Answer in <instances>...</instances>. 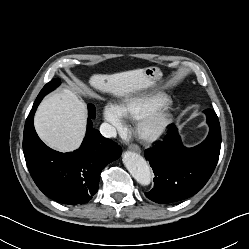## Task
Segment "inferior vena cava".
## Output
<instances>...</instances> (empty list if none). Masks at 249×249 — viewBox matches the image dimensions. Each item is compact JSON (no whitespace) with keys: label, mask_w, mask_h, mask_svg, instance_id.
Masks as SVG:
<instances>
[{"label":"inferior vena cava","mask_w":249,"mask_h":249,"mask_svg":"<svg viewBox=\"0 0 249 249\" xmlns=\"http://www.w3.org/2000/svg\"><path fill=\"white\" fill-rule=\"evenodd\" d=\"M100 133L106 138H115L117 135L116 129L106 122L101 124Z\"/></svg>","instance_id":"obj_1"}]
</instances>
